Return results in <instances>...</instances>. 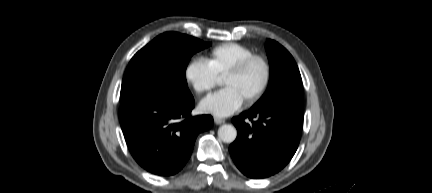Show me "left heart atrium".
<instances>
[{"label":"left heart atrium","instance_id":"1","mask_svg":"<svg viewBox=\"0 0 432 193\" xmlns=\"http://www.w3.org/2000/svg\"><path fill=\"white\" fill-rule=\"evenodd\" d=\"M221 99L224 103V108L226 110H232L237 107L239 99L236 94L232 91H226L221 95Z\"/></svg>","mask_w":432,"mask_h":193}]
</instances>
